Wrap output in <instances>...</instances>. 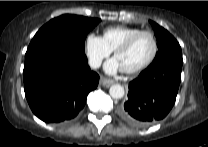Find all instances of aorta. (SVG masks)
I'll return each mask as SVG.
<instances>
[{"label": "aorta", "instance_id": "1", "mask_svg": "<svg viewBox=\"0 0 208 147\" xmlns=\"http://www.w3.org/2000/svg\"><path fill=\"white\" fill-rule=\"evenodd\" d=\"M109 94L114 99H121L123 98L125 91L123 86H121L120 84H114L110 87Z\"/></svg>", "mask_w": 208, "mask_h": 147}]
</instances>
